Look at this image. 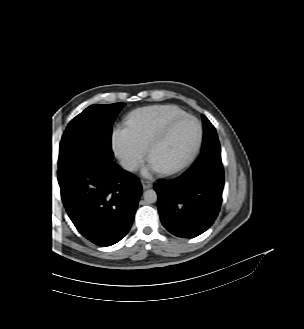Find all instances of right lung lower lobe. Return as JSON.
I'll return each mask as SVG.
<instances>
[{
    "instance_id": "98d812e1",
    "label": "right lung lower lobe",
    "mask_w": 304,
    "mask_h": 329,
    "mask_svg": "<svg viewBox=\"0 0 304 329\" xmlns=\"http://www.w3.org/2000/svg\"><path fill=\"white\" fill-rule=\"evenodd\" d=\"M62 201L79 232L110 246L129 231L142 193L140 181L115 163L80 162L58 169Z\"/></svg>"
}]
</instances>
